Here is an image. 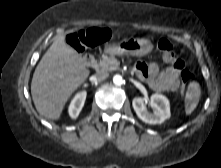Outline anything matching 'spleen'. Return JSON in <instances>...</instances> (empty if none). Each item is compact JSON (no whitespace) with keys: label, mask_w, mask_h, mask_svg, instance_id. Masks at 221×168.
<instances>
[{"label":"spleen","mask_w":221,"mask_h":168,"mask_svg":"<svg viewBox=\"0 0 221 168\" xmlns=\"http://www.w3.org/2000/svg\"><path fill=\"white\" fill-rule=\"evenodd\" d=\"M201 89L197 82H193L189 85L187 95H186V103H185V112L186 115H190L198 104V100L200 98Z\"/></svg>","instance_id":"1"}]
</instances>
